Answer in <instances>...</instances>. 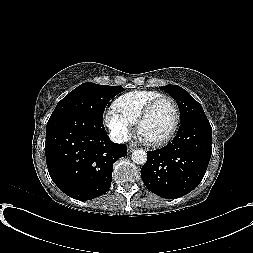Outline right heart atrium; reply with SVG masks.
I'll list each match as a JSON object with an SVG mask.
<instances>
[{
    "label": "right heart atrium",
    "instance_id": "d8ad5b80",
    "mask_svg": "<svg viewBox=\"0 0 253 253\" xmlns=\"http://www.w3.org/2000/svg\"><path fill=\"white\" fill-rule=\"evenodd\" d=\"M104 122L116 140L124 142L131 136L132 125L114 108L107 110L104 115Z\"/></svg>",
    "mask_w": 253,
    "mask_h": 253
}]
</instances>
